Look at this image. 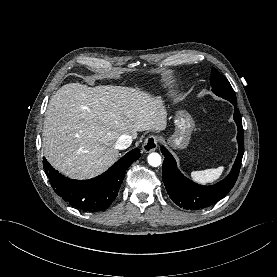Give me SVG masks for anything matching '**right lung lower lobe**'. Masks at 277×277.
Listing matches in <instances>:
<instances>
[{
    "mask_svg": "<svg viewBox=\"0 0 277 277\" xmlns=\"http://www.w3.org/2000/svg\"><path fill=\"white\" fill-rule=\"evenodd\" d=\"M133 149L106 172L89 180H72L55 170L45 158L43 167L55 192L71 206L85 212L107 209L118 195L127 168L140 157Z\"/></svg>",
    "mask_w": 277,
    "mask_h": 277,
    "instance_id": "1",
    "label": "right lung lower lobe"
}]
</instances>
